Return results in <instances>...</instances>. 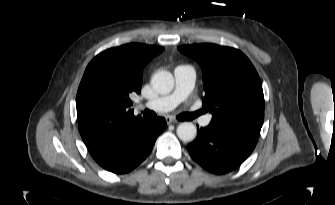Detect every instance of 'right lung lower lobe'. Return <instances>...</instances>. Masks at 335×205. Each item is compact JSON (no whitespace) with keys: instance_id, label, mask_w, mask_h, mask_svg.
Masks as SVG:
<instances>
[{"instance_id":"right-lung-lower-lobe-1","label":"right lung lower lobe","mask_w":335,"mask_h":205,"mask_svg":"<svg viewBox=\"0 0 335 205\" xmlns=\"http://www.w3.org/2000/svg\"><path fill=\"white\" fill-rule=\"evenodd\" d=\"M165 126V119L157 117L124 141L107 147L90 149L89 152L106 170L116 174L127 173L146 159Z\"/></svg>"}]
</instances>
